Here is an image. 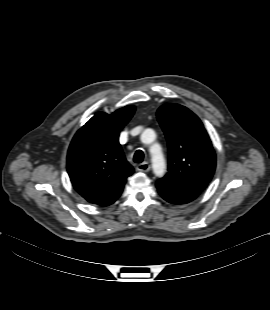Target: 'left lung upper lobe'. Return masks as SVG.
<instances>
[{
	"label": "left lung upper lobe",
	"mask_w": 270,
	"mask_h": 310,
	"mask_svg": "<svg viewBox=\"0 0 270 310\" xmlns=\"http://www.w3.org/2000/svg\"><path fill=\"white\" fill-rule=\"evenodd\" d=\"M157 118L169 148L168 173L159 180L182 188L205 189L213 177L216 158L200 119L177 104L161 106Z\"/></svg>",
	"instance_id": "1"
}]
</instances>
